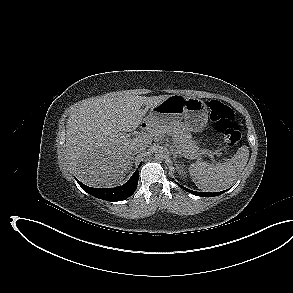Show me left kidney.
I'll return each mask as SVG.
<instances>
[{"mask_svg":"<svg viewBox=\"0 0 293 293\" xmlns=\"http://www.w3.org/2000/svg\"><path fill=\"white\" fill-rule=\"evenodd\" d=\"M176 169L178 171V174L184 177V175H185L184 165H181V164L177 165Z\"/></svg>","mask_w":293,"mask_h":293,"instance_id":"obj_1","label":"left kidney"}]
</instances>
